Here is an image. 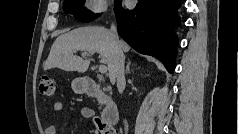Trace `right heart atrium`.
Here are the masks:
<instances>
[{"label":"right heart atrium","mask_w":239,"mask_h":134,"mask_svg":"<svg viewBox=\"0 0 239 134\" xmlns=\"http://www.w3.org/2000/svg\"><path fill=\"white\" fill-rule=\"evenodd\" d=\"M109 1L107 0H90L86 4V9L93 15H101L107 11Z\"/></svg>","instance_id":"1"}]
</instances>
